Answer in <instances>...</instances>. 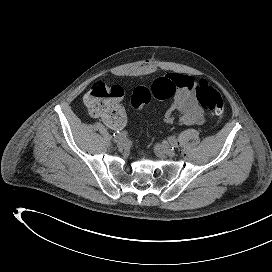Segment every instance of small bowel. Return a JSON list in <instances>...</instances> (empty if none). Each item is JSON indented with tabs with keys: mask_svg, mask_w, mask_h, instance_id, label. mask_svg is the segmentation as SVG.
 Segmentation results:
<instances>
[{
	"mask_svg": "<svg viewBox=\"0 0 272 272\" xmlns=\"http://www.w3.org/2000/svg\"><path fill=\"white\" fill-rule=\"evenodd\" d=\"M167 77L177 84V92L172 104L164 114V123L168 126L176 123L202 125L206 117L195 95V87L198 83L192 77L184 74L171 73ZM102 119L110 128L115 130L122 129L126 125V114L120 104L117 113Z\"/></svg>",
	"mask_w": 272,
	"mask_h": 272,
	"instance_id": "1",
	"label": "small bowel"
}]
</instances>
